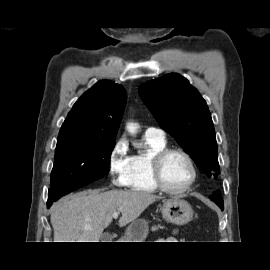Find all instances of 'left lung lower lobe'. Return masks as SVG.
I'll return each mask as SVG.
<instances>
[{
	"instance_id": "obj_1",
	"label": "left lung lower lobe",
	"mask_w": 270,
	"mask_h": 270,
	"mask_svg": "<svg viewBox=\"0 0 270 270\" xmlns=\"http://www.w3.org/2000/svg\"><path fill=\"white\" fill-rule=\"evenodd\" d=\"M210 199L214 201L221 208V210H223V200L218 192L214 194L212 197H210Z\"/></svg>"
}]
</instances>
